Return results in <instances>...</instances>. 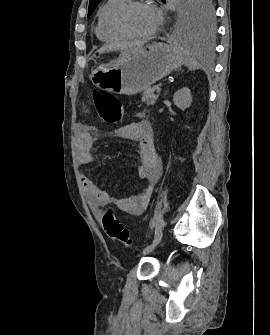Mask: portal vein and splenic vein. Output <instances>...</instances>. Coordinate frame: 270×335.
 Masks as SVG:
<instances>
[{"label": "portal vein and splenic vein", "instance_id": "obj_1", "mask_svg": "<svg viewBox=\"0 0 270 335\" xmlns=\"http://www.w3.org/2000/svg\"><path fill=\"white\" fill-rule=\"evenodd\" d=\"M157 93H161V87H157Z\"/></svg>", "mask_w": 270, "mask_h": 335}]
</instances>
